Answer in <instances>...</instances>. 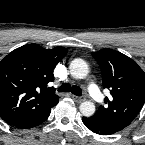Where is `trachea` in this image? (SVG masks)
I'll use <instances>...</instances> for the list:
<instances>
[{
  "label": "trachea",
  "instance_id": "trachea-1",
  "mask_svg": "<svg viewBox=\"0 0 145 145\" xmlns=\"http://www.w3.org/2000/svg\"><path fill=\"white\" fill-rule=\"evenodd\" d=\"M59 92H71L74 95L81 96L82 89L78 86H71L69 83H63L59 88Z\"/></svg>",
  "mask_w": 145,
  "mask_h": 145
}]
</instances>
